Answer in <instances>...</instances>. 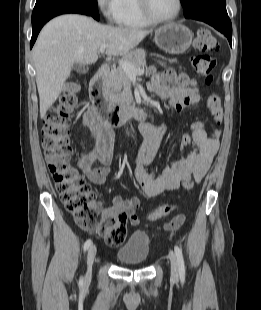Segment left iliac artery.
Instances as JSON below:
<instances>
[{
	"instance_id": "obj_1",
	"label": "left iliac artery",
	"mask_w": 261,
	"mask_h": 310,
	"mask_svg": "<svg viewBox=\"0 0 261 310\" xmlns=\"http://www.w3.org/2000/svg\"><path fill=\"white\" fill-rule=\"evenodd\" d=\"M174 250L178 261L179 276L181 281L183 282L185 280V265L182 250L178 246H175Z\"/></svg>"
}]
</instances>
